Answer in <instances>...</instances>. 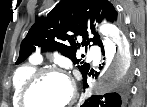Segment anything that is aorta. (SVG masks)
<instances>
[{
  "label": "aorta",
  "instance_id": "obj_1",
  "mask_svg": "<svg viewBox=\"0 0 147 107\" xmlns=\"http://www.w3.org/2000/svg\"><path fill=\"white\" fill-rule=\"evenodd\" d=\"M102 29L108 35L103 39L107 67L92 86L91 91L94 94L115 90L128 77L132 59L125 37L113 26L104 25Z\"/></svg>",
  "mask_w": 147,
  "mask_h": 107
}]
</instances>
